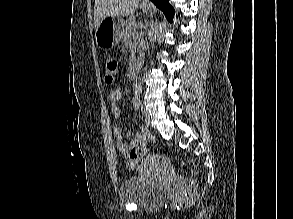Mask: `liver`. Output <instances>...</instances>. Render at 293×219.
<instances>
[{"label": "liver", "instance_id": "obj_1", "mask_svg": "<svg viewBox=\"0 0 293 219\" xmlns=\"http://www.w3.org/2000/svg\"><path fill=\"white\" fill-rule=\"evenodd\" d=\"M140 0H95L94 25L97 29L108 16H132Z\"/></svg>", "mask_w": 293, "mask_h": 219}]
</instances>
